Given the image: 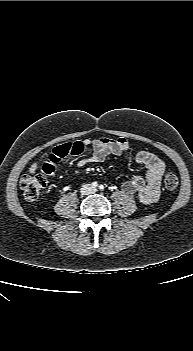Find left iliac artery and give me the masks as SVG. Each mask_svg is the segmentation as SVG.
Instances as JSON below:
<instances>
[{
    "label": "left iliac artery",
    "instance_id": "1",
    "mask_svg": "<svg viewBox=\"0 0 193 351\" xmlns=\"http://www.w3.org/2000/svg\"><path fill=\"white\" fill-rule=\"evenodd\" d=\"M99 189H100L101 191H103V190H104V186H103V185H100V186H99Z\"/></svg>",
    "mask_w": 193,
    "mask_h": 351
}]
</instances>
